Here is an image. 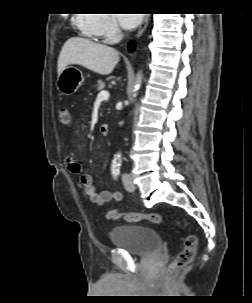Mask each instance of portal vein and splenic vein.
I'll return each mask as SVG.
<instances>
[{"mask_svg": "<svg viewBox=\"0 0 252 303\" xmlns=\"http://www.w3.org/2000/svg\"><path fill=\"white\" fill-rule=\"evenodd\" d=\"M110 94L108 91L106 90H102L98 96H97V99H100V100H107L109 98Z\"/></svg>", "mask_w": 252, "mask_h": 303, "instance_id": "18ae733b", "label": "portal vein and splenic vein"}]
</instances>
